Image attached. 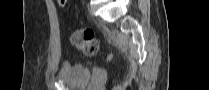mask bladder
<instances>
[{
    "mask_svg": "<svg viewBox=\"0 0 209 90\" xmlns=\"http://www.w3.org/2000/svg\"><path fill=\"white\" fill-rule=\"evenodd\" d=\"M60 76L71 84L86 86L90 82L91 72L85 64L71 63L68 60H64L61 63Z\"/></svg>",
    "mask_w": 209,
    "mask_h": 90,
    "instance_id": "bladder-1",
    "label": "bladder"
}]
</instances>
